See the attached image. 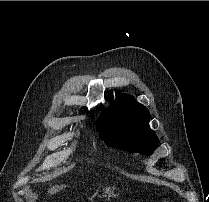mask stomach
<instances>
[{
  "label": "stomach",
  "instance_id": "stomach-1",
  "mask_svg": "<svg viewBox=\"0 0 209 202\" xmlns=\"http://www.w3.org/2000/svg\"><path fill=\"white\" fill-rule=\"evenodd\" d=\"M101 192L102 196H111V194L113 193L111 187H104Z\"/></svg>",
  "mask_w": 209,
  "mask_h": 202
}]
</instances>
